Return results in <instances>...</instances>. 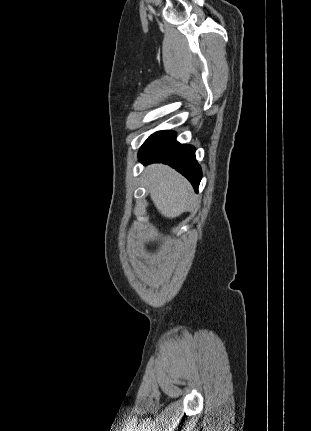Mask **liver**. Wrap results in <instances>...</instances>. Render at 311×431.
Instances as JSON below:
<instances>
[{"label":"liver","instance_id":"liver-1","mask_svg":"<svg viewBox=\"0 0 311 431\" xmlns=\"http://www.w3.org/2000/svg\"><path fill=\"white\" fill-rule=\"evenodd\" d=\"M149 194L157 210L165 217H177L190 204L191 186L168 166L154 164L145 170Z\"/></svg>","mask_w":311,"mask_h":431}]
</instances>
